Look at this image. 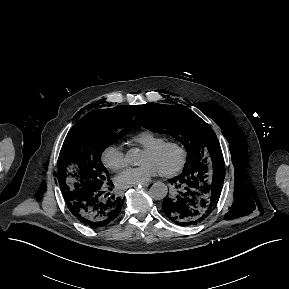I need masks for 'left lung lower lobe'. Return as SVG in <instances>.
<instances>
[{
    "mask_svg": "<svg viewBox=\"0 0 289 289\" xmlns=\"http://www.w3.org/2000/svg\"><path fill=\"white\" fill-rule=\"evenodd\" d=\"M224 176L225 168L220 167L211 172L197 169L170 179L175 189L163 200L165 215L182 226L202 222L217 205Z\"/></svg>",
    "mask_w": 289,
    "mask_h": 289,
    "instance_id": "1",
    "label": "left lung lower lobe"
}]
</instances>
